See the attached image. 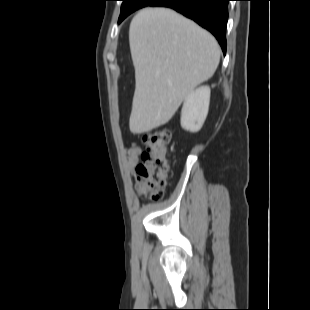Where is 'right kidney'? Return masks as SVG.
Masks as SVG:
<instances>
[{"label":"right kidney","mask_w":310,"mask_h":310,"mask_svg":"<svg viewBox=\"0 0 310 310\" xmlns=\"http://www.w3.org/2000/svg\"><path fill=\"white\" fill-rule=\"evenodd\" d=\"M210 102V88L201 86L191 91L185 98L182 113L181 126L190 132H198L207 117Z\"/></svg>","instance_id":"right-kidney-1"}]
</instances>
